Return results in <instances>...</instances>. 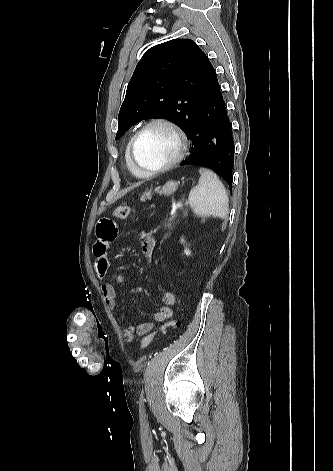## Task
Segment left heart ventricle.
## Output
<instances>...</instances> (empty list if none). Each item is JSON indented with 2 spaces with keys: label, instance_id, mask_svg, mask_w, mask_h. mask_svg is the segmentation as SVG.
<instances>
[{
  "label": "left heart ventricle",
  "instance_id": "obj_1",
  "mask_svg": "<svg viewBox=\"0 0 333 471\" xmlns=\"http://www.w3.org/2000/svg\"><path fill=\"white\" fill-rule=\"evenodd\" d=\"M178 142L168 128L155 125L140 137L135 156L144 168H156L170 161L177 153Z\"/></svg>",
  "mask_w": 333,
  "mask_h": 471
}]
</instances>
